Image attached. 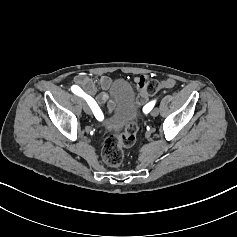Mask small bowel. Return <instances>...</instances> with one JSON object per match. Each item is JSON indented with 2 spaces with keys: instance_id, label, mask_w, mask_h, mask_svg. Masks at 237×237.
Masks as SVG:
<instances>
[{
  "instance_id": "c3829d8e",
  "label": "small bowel",
  "mask_w": 237,
  "mask_h": 237,
  "mask_svg": "<svg viewBox=\"0 0 237 237\" xmlns=\"http://www.w3.org/2000/svg\"><path fill=\"white\" fill-rule=\"evenodd\" d=\"M147 80L148 76L146 75L138 76L135 78L138 95L142 102H145L148 99V97L144 94V86ZM73 82L76 86H80L86 93L92 96L99 109L105 103H107L109 111L114 108V99L110 98L106 93V91L112 86V79L109 76L101 75L98 77L97 81H95L87 74H79L73 78ZM96 84H98V86L102 89V92L97 91ZM175 84L176 81L174 79H166L161 82V85L166 88H172L175 86Z\"/></svg>"
}]
</instances>
